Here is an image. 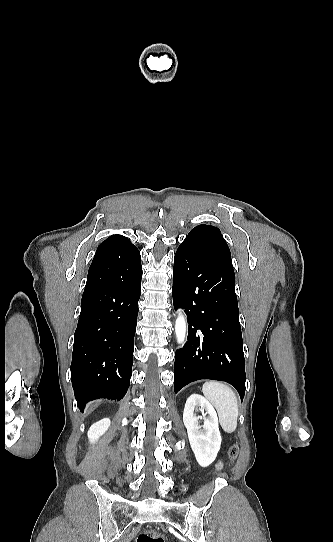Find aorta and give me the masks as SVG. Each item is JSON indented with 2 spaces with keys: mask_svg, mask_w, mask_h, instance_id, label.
Segmentation results:
<instances>
[{
  "mask_svg": "<svg viewBox=\"0 0 333 542\" xmlns=\"http://www.w3.org/2000/svg\"><path fill=\"white\" fill-rule=\"evenodd\" d=\"M186 332H187V326H186V320L184 314L182 312H179L178 318L175 322V334H176V340L177 344H184L185 338H186Z\"/></svg>",
  "mask_w": 333,
  "mask_h": 542,
  "instance_id": "762f6f07",
  "label": "aorta"
}]
</instances>
